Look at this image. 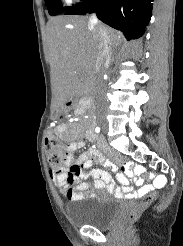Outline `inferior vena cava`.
<instances>
[{
  "instance_id": "obj_1",
  "label": "inferior vena cava",
  "mask_w": 183,
  "mask_h": 246,
  "mask_svg": "<svg viewBox=\"0 0 183 246\" xmlns=\"http://www.w3.org/2000/svg\"><path fill=\"white\" fill-rule=\"evenodd\" d=\"M89 24L96 30L99 41V53L96 61V107L97 110H103L107 107L106 87L103 80V73L108 68L112 49L110 38L104 27L98 22L96 14H92L89 18Z\"/></svg>"
}]
</instances>
